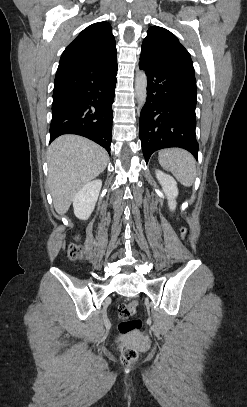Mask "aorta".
<instances>
[{
	"label": "aorta",
	"mask_w": 247,
	"mask_h": 407,
	"mask_svg": "<svg viewBox=\"0 0 247 407\" xmlns=\"http://www.w3.org/2000/svg\"><path fill=\"white\" fill-rule=\"evenodd\" d=\"M135 95L139 107H143L147 99V76L143 71H138L136 73Z\"/></svg>",
	"instance_id": "762f6f07"
}]
</instances>
